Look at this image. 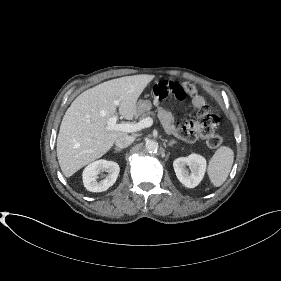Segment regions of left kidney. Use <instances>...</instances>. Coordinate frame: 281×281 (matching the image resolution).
I'll list each match as a JSON object with an SVG mask.
<instances>
[{
    "mask_svg": "<svg viewBox=\"0 0 281 281\" xmlns=\"http://www.w3.org/2000/svg\"><path fill=\"white\" fill-rule=\"evenodd\" d=\"M189 166L191 172L187 169ZM173 168L178 180L188 188L196 187L203 179L206 171V159L198 154L179 157L174 160Z\"/></svg>",
    "mask_w": 281,
    "mask_h": 281,
    "instance_id": "1",
    "label": "left kidney"
}]
</instances>
